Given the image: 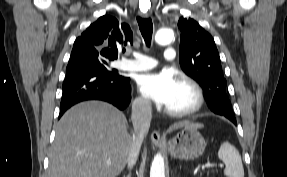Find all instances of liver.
<instances>
[{
	"mask_svg": "<svg viewBox=\"0 0 287 177\" xmlns=\"http://www.w3.org/2000/svg\"><path fill=\"white\" fill-rule=\"evenodd\" d=\"M185 126L203 127L183 121L169 130ZM131 144L127 119L121 111L101 101L82 102L57 124L47 177H116L127 164Z\"/></svg>",
	"mask_w": 287,
	"mask_h": 177,
	"instance_id": "obj_1",
	"label": "liver"
}]
</instances>
